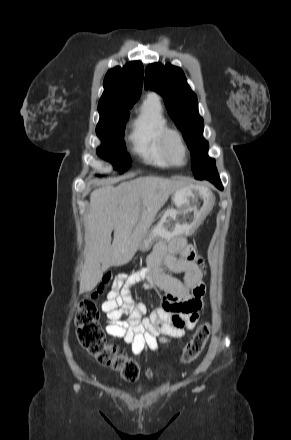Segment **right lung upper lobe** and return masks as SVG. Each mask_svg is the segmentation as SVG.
I'll return each instance as SVG.
<instances>
[{"label": "right lung upper lobe", "instance_id": "1", "mask_svg": "<svg viewBox=\"0 0 291 440\" xmlns=\"http://www.w3.org/2000/svg\"><path fill=\"white\" fill-rule=\"evenodd\" d=\"M144 68L140 61L127 63L123 68L110 69L103 82L104 92L98 108H129L140 97Z\"/></svg>", "mask_w": 291, "mask_h": 440}]
</instances>
